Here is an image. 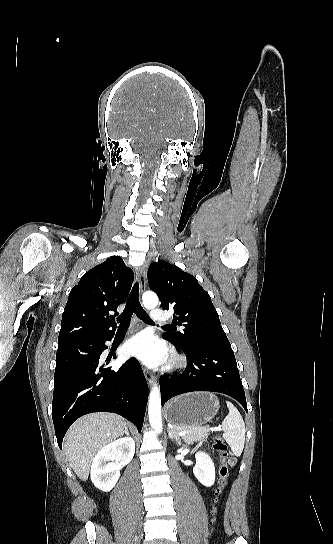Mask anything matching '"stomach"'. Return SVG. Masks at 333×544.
Returning <instances> with one entry per match:
<instances>
[{
    "instance_id": "1",
    "label": "stomach",
    "mask_w": 333,
    "mask_h": 544,
    "mask_svg": "<svg viewBox=\"0 0 333 544\" xmlns=\"http://www.w3.org/2000/svg\"><path fill=\"white\" fill-rule=\"evenodd\" d=\"M218 397L209 392L181 395L165 408L166 419L179 427H193L210 421L219 410Z\"/></svg>"
}]
</instances>
